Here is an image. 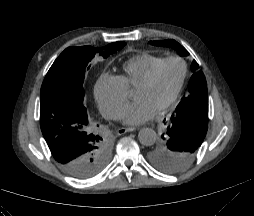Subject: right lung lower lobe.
<instances>
[{"mask_svg":"<svg viewBox=\"0 0 254 216\" xmlns=\"http://www.w3.org/2000/svg\"><path fill=\"white\" fill-rule=\"evenodd\" d=\"M40 126L56 162L69 175L87 179L100 171V142L84 104L62 93L41 97ZM78 166V170L73 169Z\"/></svg>","mask_w":254,"mask_h":216,"instance_id":"98d812e1","label":"right lung lower lobe"}]
</instances>
